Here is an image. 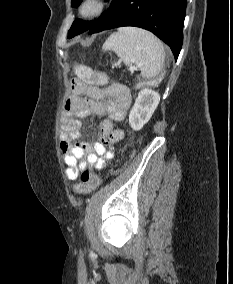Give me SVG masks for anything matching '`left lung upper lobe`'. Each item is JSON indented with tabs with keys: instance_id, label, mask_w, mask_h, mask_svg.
<instances>
[{
	"instance_id": "5c2ea615",
	"label": "left lung upper lobe",
	"mask_w": 233,
	"mask_h": 284,
	"mask_svg": "<svg viewBox=\"0 0 233 284\" xmlns=\"http://www.w3.org/2000/svg\"><path fill=\"white\" fill-rule=\"evenodd\" d=\"M81 2L82 0H72L71 6L76 8L80 5ZM92 25V21H82L80 19L75 20L68 31V38H72L82 32L89 30Z\"/></svg>"
}]
</instances>
